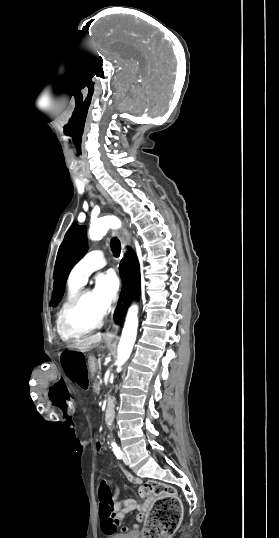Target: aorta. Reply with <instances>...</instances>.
<instances>
[{
    "mask_svg": "<svg viewBox=\"0 0 279 538\" xmlns=\"http://www.w3.org/2000/svg\"><path fill=\"white\" fill-rule=\"evenodd\" d=\"M121 225L119 219L115 216H105L92 223L89 229L91 240H101L110 228H119ZM138 328V307L133 304L129 307L125 324L122 330L121 339L118 345V360L116 365L122 366L129 358L134 346ZM113 448L116 443H112Z\"/></svg>",
    "mask_w": 279,
    "mask_h": 538,
    "instance_id": "1",
    "label": "aorta"
}]
</instances>
